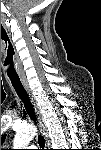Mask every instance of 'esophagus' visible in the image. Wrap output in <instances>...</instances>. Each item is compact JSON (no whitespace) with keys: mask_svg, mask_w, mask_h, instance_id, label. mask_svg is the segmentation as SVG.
<instances>
[{"mask_svg":"<svg viewBox=\"0 0 101 150\" xmlns=\"http://www.w3.org/2000/svg\"><path fill=\"white\" fill-rule=\"evenodd\" d=\"M22 84H23V86H24V88H25V90H26V92H27V94H28V96H29V98H30V100L32 102V105H33L34 110H35L36 115H37V119H38V122H39V125H40L41 132H42V134H43V136L45 138L46 144L48 145V143H47L48 130H47V127L45 125L42 112L40 111L38 103H37L34 95L32 94V91H31V89L29 87V84H28L27 80L22 79Z\"/></svg>","mask_w":101,"mask_h":150,"instance_id":"obj_1","label":"esophagus"}]
</instances>
